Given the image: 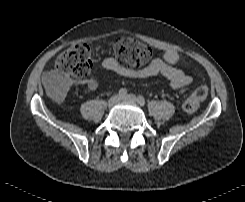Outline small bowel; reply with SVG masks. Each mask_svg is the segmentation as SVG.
<instances>
[{"instance_id": "1", "label": "small bowel", "mask_w": 245, "mask_h": 202, "mask_svg": "<svg viewBox=\"0 0 245 202\" xmlns=\"http://www.w3.org/2000/svg\"><path fill=\"white\" fill-rule=\"evenodd\" d=\"M180 60V54L173 49L168 50L163 57L154 58L149 64L130 68L121 65L118 60L112 56L106 57L102 61V66L120 77L131 80H144L155 76H162L169 81L170 87L174 90H179L189 86L192 83L191 76L184 71L174 66ZM45 83H51L56 80V75L53 72H46L44 74ZM99 84L98 78L95 76L89 80L82 82H63L56 83V91L63 94L67 90H74L79 87H86L95 89Z\"/></svg>"}]
</instances>
